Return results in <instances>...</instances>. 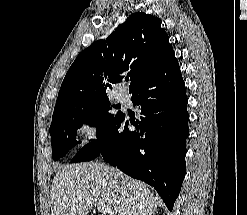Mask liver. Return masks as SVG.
I'll return each mask as SVG.
<instances>
[{
    "instance_id": "obj_1",
    "label": "liver",
    "mask_w": 247,
    "mask_h": 215,
    "mask_svg": "<svg viewBox=\"0 0 247 215\" xmlns=\"http://www.w3.org/2000/svg\"><path fill=\"white\" fill-rule=\"evenodd\" d=\"M51 215H87L102 203L104 215H153L158 198L149 188L99 162L74 164L60 169L50 190Z\"/></svg>"
}]
</instances>
